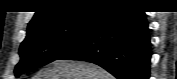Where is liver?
<instances>
[{
    "label": "liver",
    "mask_w": 177,
    "mask_h": 79,
    "mask_svg": "<svg viewBox=\"0 0 177 79\" xmlns=\"http://www.w3.org/2000/svg\"><path fill=\"white\" fill-rule=\"evenodd\" d=\"M34 79H113L103 68L80 60H55L42 68Z\"/></svg>",
    "instance_id": "6515ba94"
}]
</instances>
